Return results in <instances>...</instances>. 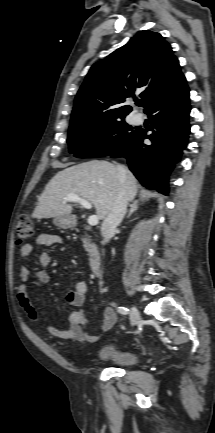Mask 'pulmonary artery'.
Segmentation results:
<instances>
[{
    "instance_id": "obj_1",
    "label": "pulmonary artery",
    "mask_w": 215,
    "mask_h": 433,
    "mask_svg": "<svg viewBox=\"0 0 215 433\" xmlns=\"http://www.w3.org/2000/svg\"><path fill=\"white\" fill-rule=\"evenodd\" d=\"M134 123H139L141 121V116L136 114L133 116Z\"/></svg>"
}]
</instances>
